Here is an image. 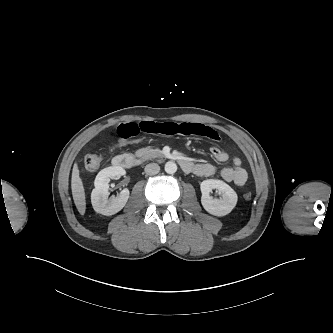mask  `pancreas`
<instances>
[{
    "instance_id": "pancreas-1",
    "label": "pancreas",
    "mask_w": 333,
    "mask_h": 333,
    "mask_svg": "<svg viewBox=\"0 0 333 333\" xmlns=\"http://www.w3.org/2000/svg\"><path fill=\"white\" fill-rule=\"evenodd\" d=\"M136 155L144 160H149L161 155V151L159 149L145 147L137 150Z\"/></svg>"
}]
</instances>
